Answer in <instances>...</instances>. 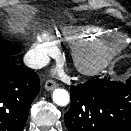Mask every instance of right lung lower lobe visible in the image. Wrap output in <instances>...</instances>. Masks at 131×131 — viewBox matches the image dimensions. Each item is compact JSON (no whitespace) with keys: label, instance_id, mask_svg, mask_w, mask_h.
Instances as JSON below:
<instances>
[{"label":"right lung lower lobe","instance_id":"right-lung-lower-lobe-1","mask_svg":"<svg viewBox=\"0 0 131 131\" xmlns=\"http://www.w3.org/2000/svg\"><path fill=\"white\" fill-rule=\"evenodd\" d=\"M40 90L37 73L0 56V131H22Z\"/></svg>","mask_w":131,"mask_h":131}]
</instances>
